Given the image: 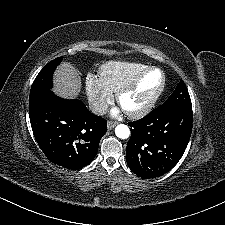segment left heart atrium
<instances>
[{"label":"left heart atrium","mask_w":225,"mask_h":225,"mask_svg":"<svg viewBox=\"0 0 225 225\" xmlns=\"http://www.w3.org/2000/svg\"><path fill=\"white\" fill-rule=\"evenodd\" d=\"M112 113H113L114 115H116V114L118 113V110L115 108V109L112 110Z\"/></svg>","instance_id":"obj_1"}]
</instances>
